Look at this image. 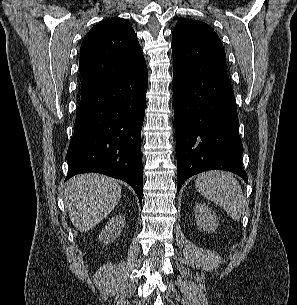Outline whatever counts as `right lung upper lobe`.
Here are the masks:
<instances>
[{"label":"right lung upper lobe","instance_id":"obj_1","mask_svg":"<svg viewBox=\"0 0 297 305\" xmlns=\"http://www.w3.org/2000/svg\"><path fill=\"white\" fill-rule=\"evenodd\" d=\"M146 65L130 23L109 18L94 26L80 48L81 96L130 76Z\"/></svg>","mask_w":297,"mask_h":305}]
</instances>
